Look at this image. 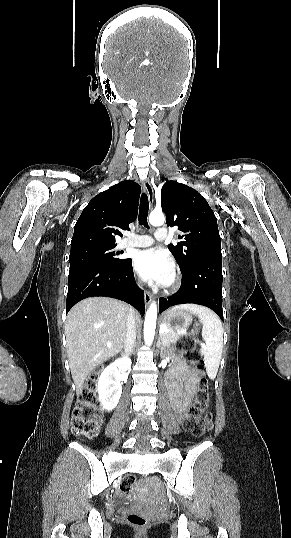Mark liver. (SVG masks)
Returning a JSON list of instances; mask_svg holds the SVG:
<instances>
[{
  "mask_svg": "<svg viewBox=\"0 0 291 538\" xmlns=\"http://www.w3.org/2000/svg\"><path fill=\"white\" fill-rule=\"evenodd\" d=\"M129 309L119 300L92 297L82 300L69 311L65 334L77 395L82 393L84 381L91 371L123 349Z\"/></svg>",
  "mask_w": 291,
  "mask_h": 538,
  "instance_id": "6515ba94",
  "label": "liver"
}]
</instances>
